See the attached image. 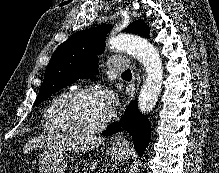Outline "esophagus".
Returning <instances> with one entry per match:
<instances>
[{
    "label": "esophagus",
    "instance_id": "esophagus-1",
    "mask_svg": "<svg viewBox=\"0 0 219 173\" xmlns=\"http://www.w3.org/2000/svg\"><path fill=\"white\" fill-rule=\"evenodd\" d=\"M116 144H123L125 139L123 137L116 138L114 141Z\"/></svg>",
    "mask_w": 219,
    "mask_h": 173
}]
</instances>
